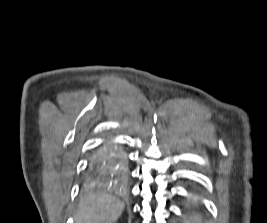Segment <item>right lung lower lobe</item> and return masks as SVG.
Segmentation results:
<instances>
[{"mask_svg": "<svg viewBox=\"0 0 267 223\" xmlns=\"http://www.w3.org/2000/svg\"><path fill=\"white\" fill-rule=\"evenodd\" d=\"M127 180V158L121 147L113 143L98 147L89 162L85 187L120 189Z\"/></svg>", "mask_w": 267, "mask_h": 223, "instance_id": "right-lung-lower-lobe-1", "label": "right lung lower lobe"}]
</instances>
